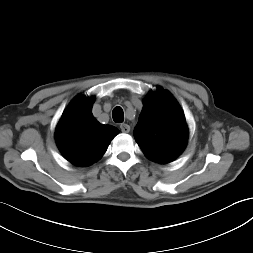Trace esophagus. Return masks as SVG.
<instances>
[{
  "label": "esophagus",
  "instance_id": "34e87169",
  "mask_svg": "<svg viewBox=\"0 0 253 253\" xmlns=\"http://www.w3.org/2000/svg\"><path fill=\"white\" fill-rule=\"evenodd\" d=\"M120 129L123 133H128L130 131V126L128 124H121L120 125Z\"/></svg>",
  "mask_w": 253,
  "mask_h": 253
}]
</instances>
